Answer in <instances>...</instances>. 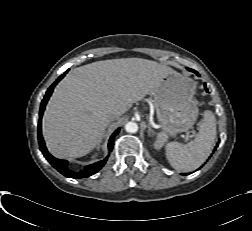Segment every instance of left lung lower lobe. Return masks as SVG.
<instances>
[{
  "instance_id": "1",
  "label": "left lung lower lobe",
  "mask_w": 252,
  "mask_h": 231,
  "mask_svg": "<svg viewBox=\"0 0 252 231\" xmlns=\"http://www.w3.org/2000/svg\"><path fill=\"white\" fill-rule=\"evenodd\" d=\"M188 70H189V71H193V72H195L196 74H198L196 71H194V70H192V69H189V68H188ZM205 88H206V85H205ZM217 146H218V145H217Z\"/></svg>"
}]
</instances>
